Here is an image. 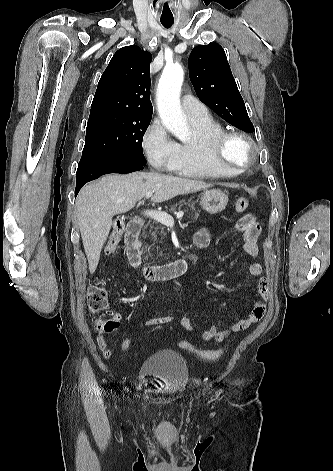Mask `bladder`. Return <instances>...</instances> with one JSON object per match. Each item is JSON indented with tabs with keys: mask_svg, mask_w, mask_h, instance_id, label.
I'll list each match as a JSON object with an SVG mask.
<instances>
[{
	"mask_svg": "<svg viewBox=\"0 0 333 471\" xmlns=\"http://www.w3.org/2000/svg\"><path fill=\"white\" fill-rule=\"evenodd\" d=\"M142 377L156 378L163 384L164 394L182 392L189 381V370L185 358L173 350H161L144 360L139 369Z\"/></svg>",
	"mask_w": 333,
	"mask_h": 471,
	"instance_id": "31cf9c89",
	"label": "bladder"
}]
</instances>
